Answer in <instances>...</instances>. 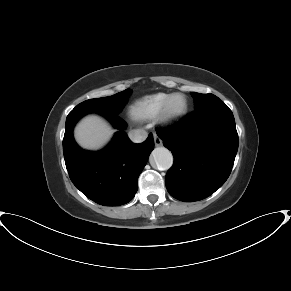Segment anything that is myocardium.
<instances>
[{"label": "myocardium", "mask_w": 291, "mask_h": 291, "mask_svg": "<svg viewBox=\"0 0 291 291\" xmlns=\"http://www.w3.org/2000/svg\"><path fill=\"white\" fill-rule=\"evenodd\" d=\"M188 111V102L184 95L173 94L166 100L162 111L161 119L165 122H175L182 118Z\"/></svg>", "instance_id": "1"}]
</instances>
